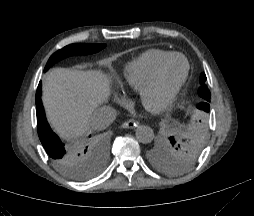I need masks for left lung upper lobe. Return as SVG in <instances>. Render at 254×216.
Segmentation results:
<instances>
[{
	"instance_id": "5c2ea615",
	"label": "left lung upper lobe",
	"mask_w": 254,
	"mask_h": 216,
	"mask_svg": "<svg viewBox=\"0 0 254 216\" xmlns=\"http://www.w3.org/2000/svg\"><path fill=\"white\" fill-rule=\"evenodd\" d=\"M205 82L206 75L202 73L198 94L204 99V102L199 103L197 108L209 112L210 91ZM169 140V145L163 149L152 151L149 158L158 169L168 173H176L184 169L196 157L199 148L195 145L184 147L182 144H178L174 137H170Z\"/></svg>"
}]
</instances>
